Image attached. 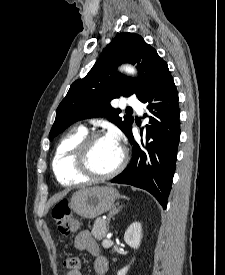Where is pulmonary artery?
<instances>
[{"label": "pulmonary artery", "mask_w": 225, "mask_h": 275, "mask_svg": "<svg viewBox=\"0 0 225 275\" xmlns=\"http://www.w3.org/2000/svg\"><path fill=\"white\" fill-rule=\"evenodd\" d=\"M126 105L137 109L138 111H142L143 105L134 97H130L126 101Z\"/></svg>", "instance_id": "pulmonary-artery-1"}]
</instances>
